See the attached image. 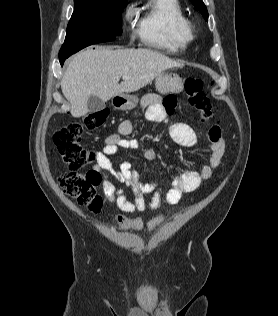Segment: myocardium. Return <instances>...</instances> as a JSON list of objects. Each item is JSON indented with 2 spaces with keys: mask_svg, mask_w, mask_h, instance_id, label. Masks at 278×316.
I'll return each instance as SVG.
<instances>
[{
  "mask_svg": "<svg viewBox=\"0 0 278 316\" xmlns=\"http://www.w3.org/2000/svg\"><path fill=\"white\" fill-rule=\"evenodd\" d=\"M189 32H190L191 37L193 38L194 37V27L192 26L191 23H189Z\"/></svg>",
  "mask_w": 278,
  "mask_h": 316,
  "instance_id": "f54148a6",
  "label": "myocardium"
}]
</instances>
